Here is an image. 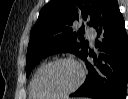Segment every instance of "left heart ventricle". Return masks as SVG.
<instances>
[{
	"label": "left heart ventricle",
	"mask_w": 128,
	"mask_h": 99,
	"mask_svg": "<svg viewBox=\"0 0 128 99\" xmlns=\"http://www.w3.org/2000/svg\"><path fill=\"white\" fill-rule=\"evenodd\" d=\"M79 73L75 65L64 62L43 69L36 81L37 90L43 94L62 93L75 85Z\"/></svg>",
	"instance_id": "obj_1"
}]
</instances>
